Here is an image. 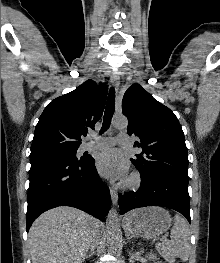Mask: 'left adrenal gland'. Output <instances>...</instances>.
<instances>
[{
  "mask_svg": "<svg viewBox=\"0 0 220 263\" xmlns=\"http://www.w3.org/2000/svg\"><path fill=\"white\" fill-rule=\"evenodd\" d=\"M125 236H126L127 240H130V239L133 238V237H132L130 234H128V233H125Z\"/></svg>",
  "mask_w": 220,
  "mask_h": 263,
  "instance_id": "left-adrenal-gland-1",
  "label": "left adrenal gland"
}]
</instances>
